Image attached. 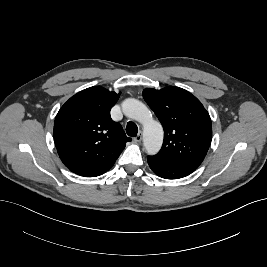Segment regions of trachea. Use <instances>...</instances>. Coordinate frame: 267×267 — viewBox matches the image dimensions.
<instances>
[{"instance_id":"obj_1","label":"trachea","mask_w":267,"mask_h":267,"mask_svg":"<svg viewBox=\"0 0 267 267\" xmlns=\"http://www.w3.org/2000/svg\"><path fill=\"white\" fill-rule=\"evenodd\" d=\"M126 133L128 136H136L138 133V127L134 122H128L126 126Z\"/></svg>"}]
</instances>
